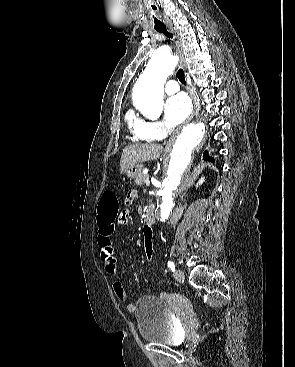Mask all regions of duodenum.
Masks as SVG:
<instances>
[{
  "label": "duodenum",
  "mask_w": 295,
  "mask_h": 367,
  "mask_svg": "<svg viewBox=\"0 0 295 367\" xmlns=\"http://www.w3.org/2000/svg\"><path fill=\"white\" fill-rule=\"evenodd\" d=\"M144 221L146 224H153L155 222V209L153 206L147 208Z\"/></svg>",
  "instance_id": "obj_1"
}]
</instances>
